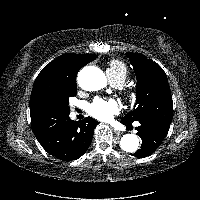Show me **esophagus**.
I'll list each match as a JSON object with an SVG mask.
<instances>
[{"label":"esophagus","instance_id":"34e87169","mask_svg":"<svg viewBox=\"0 0 200 200\" xmlns=\"http://www.w3.org/2000/svg\"><path fill=\"white\" fill-rule=\"evenodd\" d=\"M113 132L116 134H120V131L113 129Z\"/></svg>","mask_w":200,"mask_h":200}]
</instances>
